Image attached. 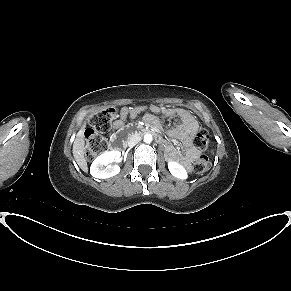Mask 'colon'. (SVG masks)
<instances>
[{
  "instance_id": "colon-1",
  "label": "colon",
  "mask_w": 291,
  "mask_h": 291,
  "mask_svg": "<svg viewBox=\"0 0 291 291\" xmlns=\"http://www.w3.org/2000/svg\"><path fill=\"white\" fill-rule=\"evenodd\" d=\"M122 110L109 107L96 113L90 120V126L85 131L86 157L89 160L105 152L108 148L102 134L108 132L113 122L120 117ZM210 137L206 130H199L192 139L195 148L206 150L209 147ZM210 167V161L206 155H200L194 162L193 170L197 174L205 173Z\"/></svg>"
}]
</instances>
